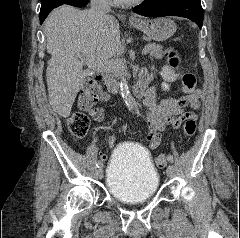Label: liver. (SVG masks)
Returning a JSON list of instances; mask_svg holds the SVG:
<instances>
[{"label":"liver","mask_w":240,"mask_h":238,"mask_svg":"<svg viewBox=\"0 0 240 238\" xmlns=\"http://www.w3.org/2000/svg\"><path fill=\"white\" fill-rule=\"evenodd\" d=\"M44 33L52 56L46 69L49 103L67 118L85 78L79 55L96 61L113 57L120 49L119 24L111 15L97 18L62 5L46 18Z\"/></svg>","instance_id":"obj_1"}]
</instances>
